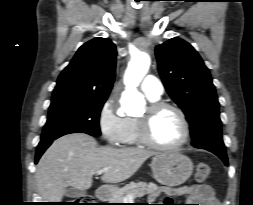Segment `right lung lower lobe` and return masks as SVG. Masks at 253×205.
Listing matches in <instances>:
<instances>
[{"label": "right lung lower lobe", "mask_w": 253, "mask_h": 205, "mask_svg": "<svg viewBox=\"0 0 253 205\" xmlns=\"http://www.w3.org/2000/svg\"><path fill=\"white\" fill-rule=\"evenodd\" d=\"M63 136V135H61ZM60 136L53 137V138H46V139H41L40 143L37 146V151H36V156H35V163L38 162L39 158L41 155L44 153V151L50 146V144Z\"/></svg>", "instance_id": "obj_1"}]
</instances>
